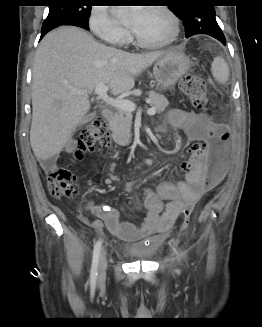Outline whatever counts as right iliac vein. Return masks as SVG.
<instances>
[{"label": "right iliac vein", "instance_id": "obj_1", "mask_svg": "<svg viewBox=\"0 0 262 327\" xmlns=\"http://www.w3.org/2000/svg\"><path fill=\"white\" fill-rule=\"evenodd\" d=\"M107 252L102 250L99 257L98 264V284L102 285L106 278V267H107Z\"/></svg>", "mask_w": 262, "mask_h": 327}]
</instances>
